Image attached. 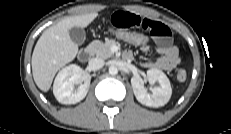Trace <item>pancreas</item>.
Segmentation results:
<instances>
[{
    "instance_id": "1",
    "label": "pancreas",
    "mask_w": 231,
    "mask_h": 134,
    "mask_svg": "<svg viewBox=\"0 0 231 134\" xmlns=\"http://www.w3.org/2000/svg\"><path fill=\"white\" fill-rule=\"evenodd\" d=\"M116 44L117 42L113 39L108 40L105 43L95 40L89 45V49L96 56L107 59L114 56V53L111 51V47Z\"/></svg>"
}]
</instances>
